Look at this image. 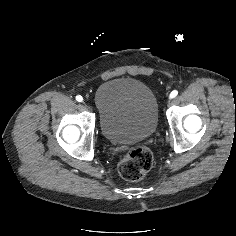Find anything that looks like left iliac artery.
I'll use <instances>...</instances> for the list:
<instances>
[{
    "label": "left iliac artery",
    "instance_id": "left-iliac-artery-1",
    "mask_svg": "<svg viewBox=\"0 0 236 236\" xmlns=\"http://www.w3.org/2000/svg\"><path fill=\"white\" fill-rule=\"evenodd\" d=\"M178 95V91L177 90H173L171 93H170V96H173L174 98ZM169 96V97H170Z\"/></svg>",
    "mask_w": 236,
    "mask_h": 236
}]
</instances>
